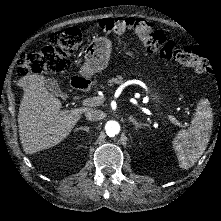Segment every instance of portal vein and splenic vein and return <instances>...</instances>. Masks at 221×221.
<instances>
[{"label":"portal vein and splenic vein","mask_w":221,"mask_h":221,"mask_svg":"<svg viewBox=\"0 0 221 221\" xmlns=\"http://www.w3.org/2000/svg\"><path fill=\"white\" fill-rule=\"evenodd\" d=\"M105 96H98V97H95V98H93V99H86L85 101H84V103L85 104H87V105H96V104H101L103 101H105ZM166 117L169 119V121L170 122H172V123H174V124H176V122H177V120H176V118L173 116V115H171V114H166Z\"/></svg>","instance_id":"1"}]
</instances>
